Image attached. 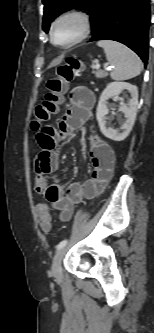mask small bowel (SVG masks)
<instances>
[{
    "mask_svg": "<svg viewBox=\"0 0 154 333\" xmlns=\"http://www.w3.org/2000/svg\"><path fill=\"white\" fill-rule=\"evenodd\" d=\"M71 105L59 122V128L50 125L42 126L36 131V141L40 151L35 158V191L44 196L49 205L59 211L61 221H69L74 213L75 206L84 199H91L104 191L112 179L115 154L111 146L98 134L91 133L90 160L93 172L85 182H74L66 188L54 179H48L58 169L59 154L57 146L59 141L73 131L86 126L92 117V108L95 102L93 92L85 86L75 87L70 94Z\"/></svg>",
    "mask_w": 154,
    "mask_h": 333,
    "instance_id": "small-bowel-1",
    "label": "small bowel"
}]
</instances>
